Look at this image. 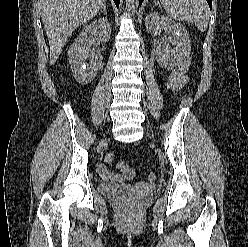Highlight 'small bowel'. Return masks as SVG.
<instances>
[{"label":"small bowel","mask_w":248,"mask_h":247,"mask_svg":"<svg viewBox=\"0 0 248 247\" xmlns=\"http://www.w3.org/2000/svg\"><path fill=\"white\" fill-rule=\"evenodd\" d=\"M184 82V81H183ZM183 84V83H182ZM98 173L99 175L108 182H116V181H121L123 180V177L116 172H110L107 170L106 166L103 164H100L98 166Z\"/></svg>","instance_id":"small-bowel-1"}]
</instances>
